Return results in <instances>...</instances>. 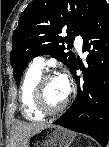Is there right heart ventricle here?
Listing matches in <instances>:
<instances>
[{
    "instance_id": "1",
    "label": "right heart ventricle",
    "mask_w": 109,
    "mask_h": 147,
    "mask_svg": "<svg viewBox=\"0 0 109 147\" xmlns=\"http://www.w3.org/2000/svg\"><path fill=\"white\" fill-rule=\"evenodd\" d=\"M42 76V70L30 67L24 75L21 83L19 99L22 115L29 121L37 122L45 115L38 112L32 105V96L34 88Z\"/></svg>"
}]
</instances>
